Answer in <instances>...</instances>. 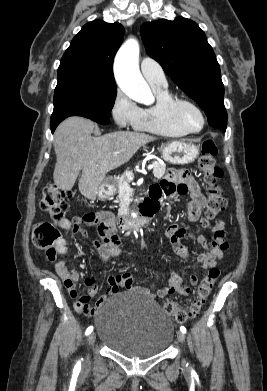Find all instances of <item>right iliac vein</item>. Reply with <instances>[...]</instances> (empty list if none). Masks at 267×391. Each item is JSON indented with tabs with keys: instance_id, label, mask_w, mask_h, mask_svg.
Returning a JSON list of instances; mask_svg holds the SVG:
<instances>
[{
	"instance_id": "right-iliac-vein-1",
	"label": "right iliac vein",
	"mask_w": 267,
	"mask_h": 391,
	"mask_svg": "<svg viewBox=\"0 0 267 391\" xmlns=\"http://www.w3.org/2000/svg\"><path fill=\"white\" fill-rule=\"evenodd\" d=\"M96 340V334L94 332L90 333L88 336V345L89 347H92Z\"/></svg>"
}]
</instances>
